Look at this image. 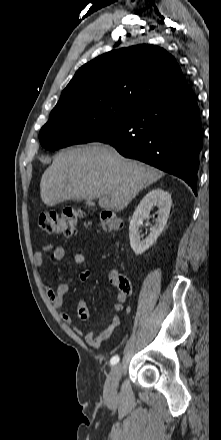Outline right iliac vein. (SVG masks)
<instances>
[{
  "mask_svg": "<svg viewBox=\"0 0 221 440\" xmlns=\"http://www.w3.org/2000/svg\"><path fill=\"white\" fill-rule=\"evenodd\" d=\"M122 374V367L116 364L112 367L110 374L105 382L104 396L106 399H113L117 396V387Z\"/></svg>",
  "mask_w": 221,
  "mask_h": 440,
  "instance_id": "63e3f726",
  "label": "right iliac vein"
}]
</instances>
